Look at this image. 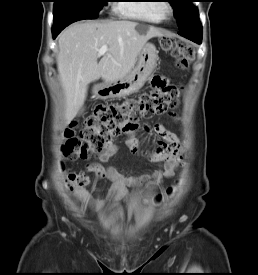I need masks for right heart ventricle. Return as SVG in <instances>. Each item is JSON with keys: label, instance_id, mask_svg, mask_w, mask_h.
I'll list each match as a JSON object with an SVG mask.
<instances>
[{"label": "right heart ventricle", "instance_id": "right-heart-ventricle-1", "mask_svg": "<svg viewBox=\"0 0 258 275\" xmlns=\"http://www.w3.org/2000/svg\"><path fill=\"white\" fill-rule=\"evenodd\" d=\"M116 5L117 10L130 18L143 20L150 23H161L163 17L159 11V1L157 0H134L125 1Z\"/></svg>", "mask_w": 258, "mask_h": 275}]
</instances>
